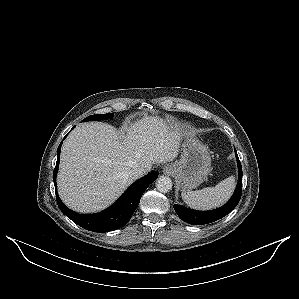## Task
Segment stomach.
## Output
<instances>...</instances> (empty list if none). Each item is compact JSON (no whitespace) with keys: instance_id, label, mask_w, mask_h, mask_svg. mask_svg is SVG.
Listing matches in <instances>:
<instances>
[{"instance_id":"1","label":"stomach","mask_w":299,"mask_h":299,"mask_svg":"<svg viewBox=\"0 0 299 299\" xmlns=\"http://www.w3.org/2000/svg\"><path fill=\"white\" fill-rule=\"evenodd\" d=\"M172 175L183 190L198 187L211 171V158L208 147L188 132L182 143L181 158L172 164Z\"/></svg>"}]
</instances>
